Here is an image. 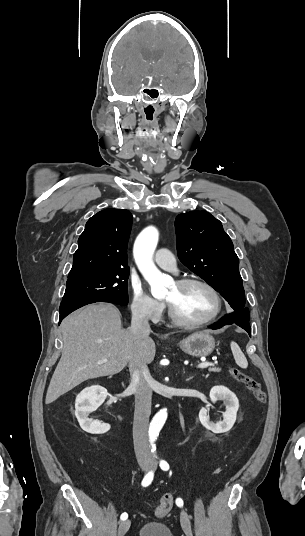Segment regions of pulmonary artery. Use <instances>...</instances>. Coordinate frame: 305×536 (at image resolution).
<instances>
[{"label":"pulmonary artery","instance_id":"obj_1","mask_svg":"<svg viewBox=\"0 0 305 536\" xmlns=\"http://www.w3.org/2000/svg\"><path fill=\"white\" fill-rule=\"evenodd\" d=\"M153 260L158 266H160L163 269H166L172 272L177 271L175 258L173 257V255H171V253L167 249L161 248L157 250L153 256Z\"/></svg>","mask_w":305,"mask_h":536}]
</instances>
